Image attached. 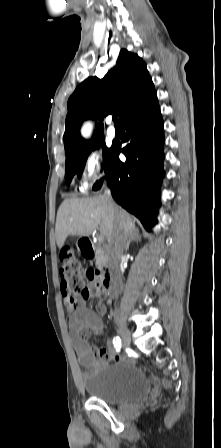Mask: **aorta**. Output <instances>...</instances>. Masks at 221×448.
<instances>
[{
    "mask_svg": "<svg viewBox=\"0 0 221 448\" xmlns=\"http://www.w3.org/2000/svg\"><path fill=\"white\" fill-rule=\"evenodd\" d=\"M88 132H89V127H88V126H85V127L83 128V134H84V135H87Z\"/></svg>",
    "mask_w": 221,
    "mask_h": 448,
    "instance_id": "aorta-1",
    "label": "aorta"
}]
</instances>
